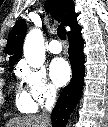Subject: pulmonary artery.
Wrapping results in <instances>:
<instances>
[{
    "instance_id": "e3ab8cb5",
    "label": "pulmonary artery",
    "mask_w": 108,
    "mask_h": 127,
    "mask_svg": "<svg viewBox=\"0 0 108 127\" xmlns=\"http://www.w3.org/2000/svg\"><path fill=\"white\" fill-rule=\"evenodd\" d=\"M49 51L53 54H59L62 51V45L58 40H52L49 43Z\"/></svg>"
}]
</instances>
